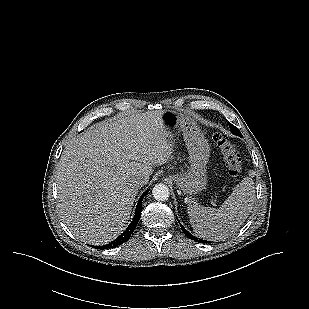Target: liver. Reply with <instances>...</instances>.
<instances>
[{"label":"liver","mask_w":309,"mask_h":309,"mask_svg":"<svg viewBox=\"0 0 309 309\" xmlns=\"http://www.w3.org/2000/svg\"><path fill=\"white\" fill-rule=\"evenodd\" d=\"M161 112H146L89 128L68 144L56 172L58 210L76 237L104 245L125 229L138 189L154 166L172 156L174 139ZM146 183V184H147Z\"/></svg>","instance_id":"1"}]
</instances>
